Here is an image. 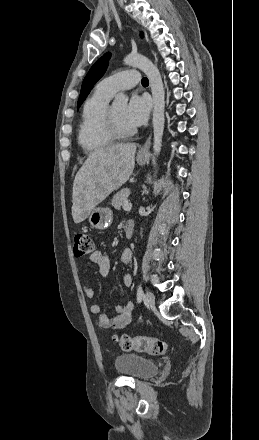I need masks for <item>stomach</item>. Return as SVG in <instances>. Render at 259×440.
<instances>
[{"instance_id":"stomach-1","label":"stomach","mask_w":259,"mask_h":440,"mask_svg":"<svg viewBox=\"0 0 259 440\" xmlns=\"http://www.w3.org/2000/svg\"><path fill=\"white\" fill-rule=\"evenodd\" d=\"M146 161V157H137V163L139 165H144ZM88 220L93 228L104 230L112 224L113 213L110 208L97 207L91 211Z\"/></svg>"}]
</instances>
